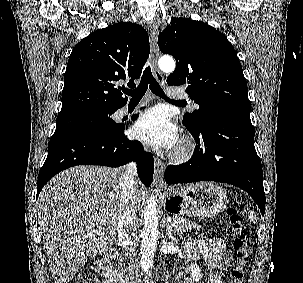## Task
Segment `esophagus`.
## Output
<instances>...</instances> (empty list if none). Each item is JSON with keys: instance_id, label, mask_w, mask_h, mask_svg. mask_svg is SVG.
<instances>
[{"instance_id": "obj_1", "label": "esophagus", "mask_w": 303, "mask_h": 283, "mask_svg": "<svg viewBox=\"0 0 303 283\" xmlns=\"http://www.w3.org/2000/svg\"><path fill=\"white\" fill-rule=\"evenodd\" d=\"M149 31H150V37H151V67L152 71L156 77V79L159 82L163 81V76L160 73L158 66H157V61L159 57V47L157 44V39H158V25L155 22H150L149 23ZM165 170V163L160 160L159 158L155 157L154 158V172H155V182L157 184H162L163 183V174Z\"/></svg>"}]
</instances>
